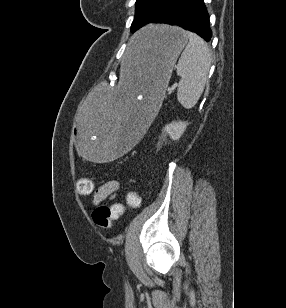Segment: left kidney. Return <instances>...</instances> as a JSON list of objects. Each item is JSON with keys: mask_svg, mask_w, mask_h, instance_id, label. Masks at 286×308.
Here are the masks:
<instances>
[{"mask_svg": "<svg viewBox=\"0 0 286 308\" xmlns=\"http://www.w3.org/2000/svg\"><path fill=\"white\" fill-rule=\"evenodd\" d=\"M187 124L182 121H173L170 124H167L164 128L165 132L169 134L172 140H178L181 135L184 133Z\"/></svg>", "mask_w": 286, "mask_h": 308, "instance_id": "5707ae66", "label": "left kidney"}]
</instances>
